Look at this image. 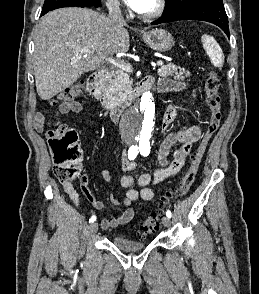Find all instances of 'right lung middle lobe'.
I'll return each instance as SVG.
<instances>
[{
    "mask_svg": "<svg viewBox=\"0 0 259 294\" xmlns=\"http://www.w3.org/2000/svg\"><path fill=\"white\" fill-rule=\"evenodd\" d=\"M97 1L99 0H45L41 14H46L47 12L62 5L87 7L93 5Z\"/></svg>",
    "mask_w": 259,
    "mask_h": 294,
    "instance_id": "dd1d6c3e",
    "label": "right lung middle lobe"
}]
</instances>
